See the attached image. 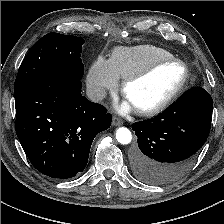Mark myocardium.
<instances>
[{"instance_id": "obj_1", "label": "myocardium", "mask_w": 224, "mask_h": 224, "mask_svg": "<svg viewBox=\"0 0 224 224\" xmlns=\"http://www.w3.org/2000/svg\"><path fill=\"white\" fill-rule=\"evenodd\" d=\"M170 63H178L182 66L184 74H183V77H182L180 83L163 101H161L157 105L147 108V109H136V112L139 115L154 116V115H157V114L163 112L168 107H170L176 101V99L182 94V92L184 91V89L188 83V80L190 78L189 68L185 62H183L182 60H180L178 58H175V57L162 58V59L153 61L152 63L147 65L145 68L141 69L140 71H138L136 73L129 75L128 77H126L124 79V81L122 83V93L125 97H127V91L131 84L146 78L147 76H149L151 73H153L159 67L166 65V64H170Z\"/></svg>"}]
</instances>
